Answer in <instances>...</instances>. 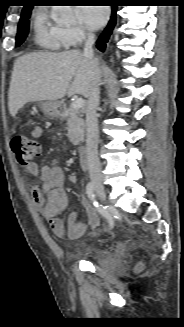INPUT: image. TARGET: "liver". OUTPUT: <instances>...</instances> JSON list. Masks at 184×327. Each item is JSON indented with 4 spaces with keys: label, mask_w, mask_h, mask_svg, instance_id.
Here are the masks:
<instances>
[{
    "label": "liver",
    "mask_w": 184,
    "mask_h": 327,
    "mask_svg": "<svg viewBox=\"0 0 184 327\" xmlns=\"http://www.w3.org/2000/svg\"><path fill=\"white\" fill-rule=\"evenodd\" d=\"M99 75L97 62L79 50L25 54L13 66L8 95L10 115L15 117L28 102L57 101L75 94L88 98Z\"/></svg>",
    "instance_id": "obj_1"
}]
</instances>
